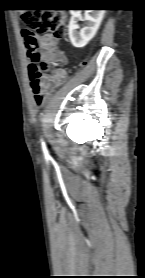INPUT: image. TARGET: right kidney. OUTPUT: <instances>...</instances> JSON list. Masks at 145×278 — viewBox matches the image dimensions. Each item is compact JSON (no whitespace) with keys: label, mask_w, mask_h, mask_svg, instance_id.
<instances>
[{"label":"right kidney","mask_w":145,"mask_h":278,"mask_svg":"<svg viewBox=\"0 0 145 278\" xmlns=\"http://www.w3.org/2000/svg\"><path fill=\"white\" fill-rule=\"evenodd\" d=\"M105 10H87L85 26L79 30L78 22L82 19L81 10H70L71 19L69 22V38L72 45L82 48L95 36Z\"/></svg>","instance_id":"obj_1"}]
</instances>
